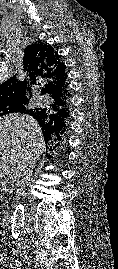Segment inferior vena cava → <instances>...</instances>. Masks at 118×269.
<instances>
[{
  "instance_id": "inferior-vena-cava-1",
  "label": "inferior vena cava",
  "mask_w": 118,
  "mask_h": 269,
  "mask_svg": "<svg viewBox=\"0 0 118 269\" xmlns=\"http://www.w3.org/2000/svg\"><path fill=\"white\" fill-rule=\"evenodd\" d=\"M34 163V161L26 160L18 165V170L14 176L17 189V203H21V194L33 173Z\"/></svg>"
}]
</instances>
